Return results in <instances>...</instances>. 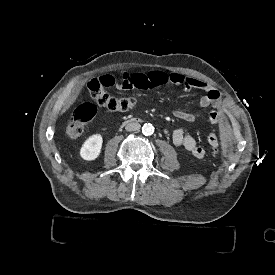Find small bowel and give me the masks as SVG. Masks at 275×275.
<instances>
[{
	"label": "small bowel",
	"mask_w": 275,
	"mask_h": 275,
	"mask_svg": "<svg viewBox=\"0 0 275 275\" xmlns=\"http://www.w3.org/2000/svg\"><path fill=\"white\" fill-rule=\"evenodd\" d=\"M114 83L123 90L152 89L164 85L183 86L185 90H200L204 93L199 100L200 107L212 108L207 115V121L210 124H216L219 121L221 112L220 93L202 80L188 78L178 72L152 70L147 72H124L116 82L114 80ZM173 115L184 121H193L201 116L198 112L183 110H175ZM172 141L176 146L183 147L197 159H203L206 156L205 149L192 136L185 134L180 129L173 132ZM207 142L209 145L211 143L216 145L214 152L220 149L221 141L215 133L208 134Z\"/></svg>",
	"instance_id": "small-bowel-1"
}]
</instances>
